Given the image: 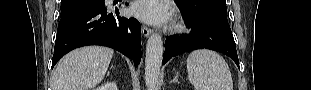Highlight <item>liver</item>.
Instances as JSON below:
<instances>
[{"instance_id":"obj_1","label":"liver","mask_w":311,"mask_h":90,"mask_svg":"<svg viewBox=\"0 0 311 90\" xmlns=\"http://www.w3.org/2000/svg\"><path fill=\"white\" fill-rule=\"evenodd\" d=\"M114 51L107 47L86 46L65 55L51 79L52 90H90L99 84Z\"/></svg>"}]
</instances>
